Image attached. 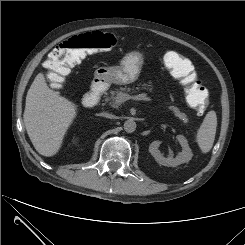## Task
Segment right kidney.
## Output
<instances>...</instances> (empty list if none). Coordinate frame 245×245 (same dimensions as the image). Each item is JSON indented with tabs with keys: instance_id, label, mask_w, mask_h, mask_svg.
Instances as JSON below:
<instances>
[{
	"instance_id": "right-kidney-1",
	"label": "right kidney",
	"mask_w": 245,
	"mask_h": 245,
	"mask_svg": "<svg viewBox=\"0 0 245 245\" xmlns=\"http://www.w3.org/2000/svg\"><path fill=\"white\" fill-rule=\"evenodd\" d=\"M77 142V139H73V143L75 144Z\"/></svg>"
}]
</instances>
